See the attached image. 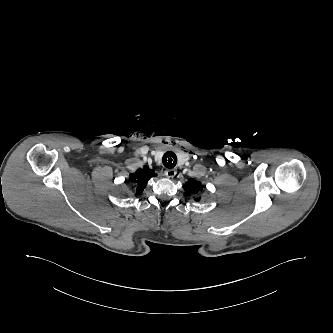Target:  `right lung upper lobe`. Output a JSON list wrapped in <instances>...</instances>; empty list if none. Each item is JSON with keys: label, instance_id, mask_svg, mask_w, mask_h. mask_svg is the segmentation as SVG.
<instances>
[{"label": "right lung upper lobe", "instance_id": "cb5924a9", "mask_svg": "<svg viewBox=\"0 0 333 333\" xmlns=\"http://www.w3.org/2000/svg\"><path fill=\"white\" fill-rule=\"evenodd\" d=\"M154 176H156L154 171L148 168L138 169L135 173L130 174L131 182L137 183V189H136L137 194L142 193L148 180Z\"/></svg>", "mask_w": 333, "mask_h": 333}]
</instances>
